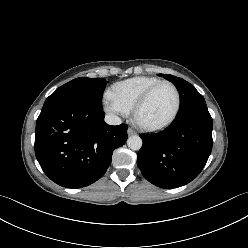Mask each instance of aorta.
<instances>
[{"mask_svg":"<svg viewBox=\"0 0 248 248\" xmlns=\"http://www.w3.org/2000/svg\"><path fill=\"white\" fill-rule=\"evenodd\" d=\"M142 139L138 135L130 136L127 140V145L131 150L137 151L142 147Z\"/></svg>","mask_w":248,"mask_h":248,"instance_id":"1","label":"aorta"}]
</instances>
